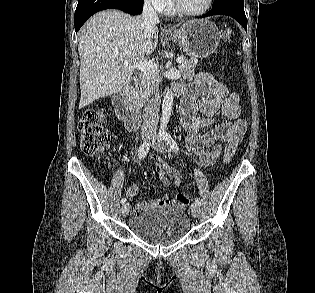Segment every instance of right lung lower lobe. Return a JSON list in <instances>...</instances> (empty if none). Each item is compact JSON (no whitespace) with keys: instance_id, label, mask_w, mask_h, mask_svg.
<instances>
[{"instance_id":"right-lung-lower-lobe-1","label":"right lung lower lobe","mask_w":315,"mask_h":293,"mask_svg":"<svg viewBox=\"0 0 315 293\" xmlns=\"http://www.w3.org/2000/svg\"><path fill=\"white\" fill-rule=\"evenodd\" d=\"M144 0H78L75 11V31L77 32L85 21L94 13L113 8L131 15L140 14Z\"/></svg>"}]
</instances>
